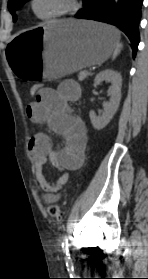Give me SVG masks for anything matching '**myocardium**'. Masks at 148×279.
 <instances>
[{
    "label": "myocardium",
    "mask_w": 148,
    "mask_h": 279,
    "mask_svg": "<svg viewBox=\"0 0 148 279\" xmlns=\"http://www.w3.org/2000/svg\"><path fill=\"white\" fill-rule=\"evenodd\" d=\"M35 2L36 0L30 1V10L36 18L42 21H54V20H60L66 18L74 14L79 8L78 0H67V6L64 7L63 9L47 15H40L37 13L35 9Z\"/></svg>",
    "instance_id": "1"
}]
</instances>
